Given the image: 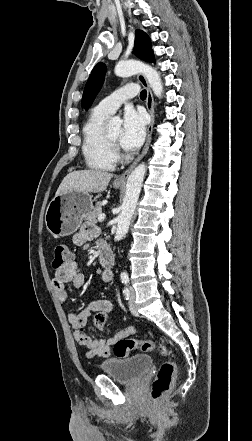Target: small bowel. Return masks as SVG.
<instances>
[{
    "label": "small bowel",
    "instance_id": "obj_1",
    "mask_svg": "<svg viewBox=\"0 0 252 441\" xmlns=\"http://www.w3.org/2000/svg\"><path fill=\"white\" fill-rule=\"evenodd\" d=\"M98 236V229L91 225L84 226L79 232L74 234L73 243L83 245ZM103 243L100 242L99 245ZM113 274L110 270H103L101 273V281L104 284H110ZM67 284H71L76 290H80L84 285V275L79 269L75 261H71L63 267L56 270L53 278V286L60 301L65 302L68 299ZM111 303L108 299H100L91 302L86 308L80 312L69 311L67 319L74 329L75 339L85 347L86 356L108 357L111 354L113 346L121 339L127 338L134 333V328L128 326L113 337L107 339L93 338L88 336L83 328L86 325L89 316L92 313L102 310L107 304ZM112 304V303H111Z\"/></svg>",
    "mask_w": 252,
    "mask_h": 441
}]
</instances>
